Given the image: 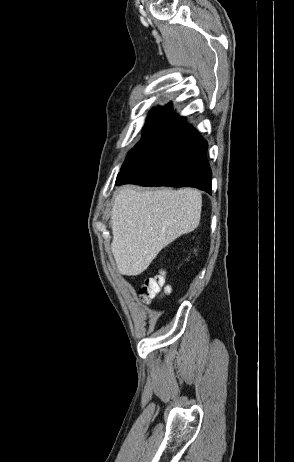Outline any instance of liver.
Listing matches in <instances>:
<instances>
[{"label":"liver","mask_w":294,"mask_h":462,"mask_svg":"<svg viewBox=\"0 0 294 462\" xmlns=\"http://www.w3.org/2000/svg\"><path fill=\"white\" fill-rule=\"evenodd\" d=\"M201 193L191 188L137 191L126 186L115 198L111 250L120 274L137 276L176 238L200 222Z\"/></svg>","instance_id":"6515ba94"}]
</instances>
